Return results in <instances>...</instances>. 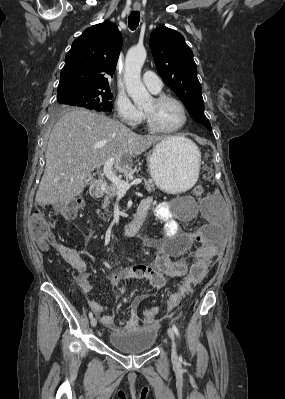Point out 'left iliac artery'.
Returning a JSON list of instances; mask_svg holds the SVG:
<instances>
[{"instance_id": "obj_1", "label": "left iliac artery", "mask_w": 285, "mask_h": 399, "mask_svg": "<svg viewBox=\"0 0 285 399\" xmlns=\"http://www.w3.org/2000/svg\"><path fill=\"white\" fill-rule=\"evenodd\" d=\"M172 329H173V331L175 332V334L179 337L180 333H179V330H178V328L176 327V325H173V326H172Z\"/></svg>"}]
</instances>
